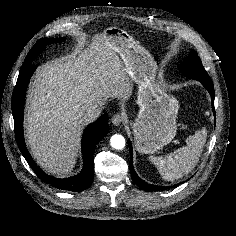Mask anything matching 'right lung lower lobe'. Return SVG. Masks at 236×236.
Here are the masks:
<instances>
[{
	"mask_svg": "<svg viewBox=\"0 0 236 236\" xmlns=\"http://www.w3.org/2000/svg\"><path fill=\"white\" fill-rule=\"evenodd\" d=\"M35 69L36 66L30 64L20 70L17 83L12 95V114L14 118L15 136L18 147L32 170L43 182H46L62 190L74 192L83 191L92 183L93 180V152L98 142L108 133V115H102L96 122L92 123L85 129V132L82 136V153L84 166L82 171L78 175L66 179H58L47 175L34 163V160L32 159L26 148L23 135V111L25 94L28 82Z\"/></svg>",
	"mask_w": 236,
	"mask_h": 236,
	"instance_id": "right-lung-lower-lobe-1",
	"label": "right lung lower lobe"
}]
</instances>
